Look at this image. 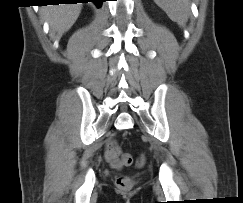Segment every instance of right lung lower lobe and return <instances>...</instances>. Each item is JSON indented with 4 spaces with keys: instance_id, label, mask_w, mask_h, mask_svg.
<instances>
[{
    "instance_id": "1",
    "label": "right lung lower lobe",
    "mask_w": 243,
    "mask_h": 203,
    "mask_svg": "<svg viewBox=\"0 0 243 203\" xmlns=\"http://www.w3.org/2000/svg\"><path fill=\"white\" fill-rule=\"evenodd\" d=\"M59 3H77V2H81V3H88V2H94L96 4V6L99 8L101 7L102 2L106 1V0H57ZM42 6V4H39Z\"/></svg>"
}]
</instances>
